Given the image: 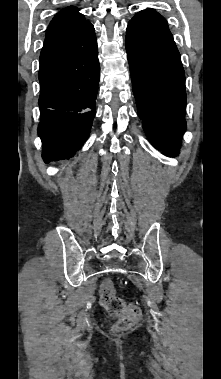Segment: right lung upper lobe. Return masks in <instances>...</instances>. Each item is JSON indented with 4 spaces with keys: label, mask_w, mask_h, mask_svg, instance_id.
Listing matches in <instances>:
<instances>
[{
    "label": "right lung upper lobe",
    "mask_w": 221,
    "mask_h": 379,
    "mask_svg": "<svg viewBox=\"0 0 221 379\" xmlns=\"http://www.w3.org/2000/svg\"><path fill=\"white\" fill-rule=\"evenodd\" d=\"M86 23L84 16L76 7H67L58 12L50 22L44 45L63 39L81 29Z\"/></svg>",
    "instance_id": "right-lung-upper-lobe-1"
}]
</instances>
